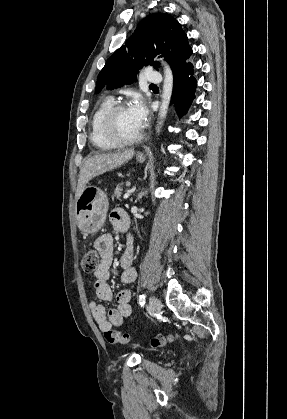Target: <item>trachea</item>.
Segmentation results:
<instances>
[{
    "mask_svg": "<svg viewBox=\"0 0 287 419\" xmlns=\"http://www.w3.org/2000/svg\"><path fill=\"white\" fill-rule=\"evenodd\" d=\"M150 86H156V85H154V84H151Z\"/></svg>",
    "mask_w": 287,
    "mask_h": 419,
    "instance_id": "1",
    "label": "trachea"
}]
</instances>
